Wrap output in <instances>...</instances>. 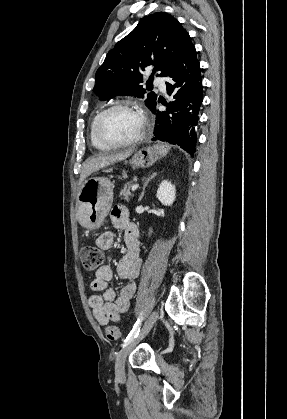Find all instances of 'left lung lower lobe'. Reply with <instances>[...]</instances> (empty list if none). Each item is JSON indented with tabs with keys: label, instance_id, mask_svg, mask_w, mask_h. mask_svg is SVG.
<instances>
[{
	"label": "left lung lower lobe",
	"instance_id": "1",
	"mask_svg": "<svg viewBox=\"0 0 287 419\" xmlns=\"http://www.w3.org/2000/svg\"><path fill=\"white\" fill-rule=\"evenodd\" d=\"M169 78L167 93L173 96V101L164 103L167 107L164 112L156 113V104L151 108L157 114L152 140L177 144L193 156L197 115L203 100L199 61L193 59L184 70Z\"/></svg>",
	"mask_w": 287,
	"mask_h": 419
}]
</instances>
